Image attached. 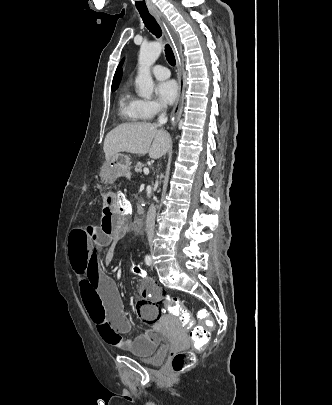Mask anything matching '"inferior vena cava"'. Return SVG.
<instances>
[{"instance_id":"602c4592","label":"inferior vena cava","mask_w":332,"mask_h":405,"mask_svg":"<svg viewBox=\"0 0 332 405\" xmlns=\"http://www.w3.org/2000/svg\"><path fill=\"white\" fill-rule=\"evenodd\" d=\"M161 109L163 110V112L158 117L159 125L165 124L168 120V118L166 116L167 105L162 104ZM155 216H156V209L154 206H151L148 210V215H147V223H148L149 232H151L153 230L154 223H155Z\"/></svg>"}]
</instances>
